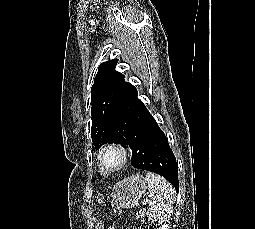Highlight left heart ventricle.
Listing matches in <instances>:
<instances>
[{
	"label": "left heart ventricle",
	"mask_w": 255,
	"mask_h": 229,
	"mask_svg": "<svg viewBox=\"0 0 255 229\" xmlns=\"http://www.w3.org/2000/svg\"><path fill=\"white\" fill-rule=\"evenodd\" d=\"M120 159V156L117 152L110 151L107 152L104 156L105 163L108 165H114L116 164Z\"/></svg>",
	"instance_id": "obj_1"
}]
</instances>
